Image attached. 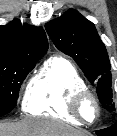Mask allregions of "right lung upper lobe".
Wrapping results in <instances>:
<instances>
[{"instance_id":"cb5924a9","label":"right lung upper lobe","mask_w":117,"mask_h":136,"mask_svg":"<svg viewBox=\"0 0 117 136\" xmlns=\"http://www.w3.org/2000/svg\"><path fill=\"white\" fill-rule=\"evenodd\" d=\"M47 49L48 40L41 27L22 25L18 19L0 26V59H41Z\"/></svg>"}]
</instances>
